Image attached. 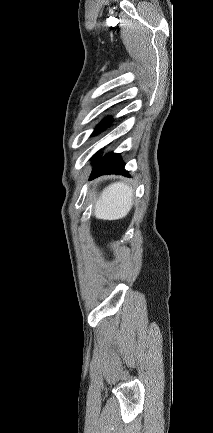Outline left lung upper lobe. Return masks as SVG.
<instances>
[{
    "label": "left lung upper lobe",
    "instance_id": "5c2ea615",
    "mask_svg": "<svg viewBox=\"0 0 213 433\" xmlns=\"http://www.w3.org/2000/svg\"><path fill=\"white\" fill-rule=\"evenodd\" d=\"M108 122H109L108 119L103 120L102 123L98 125V127L95 129L93 135L99 133L108 124Z\"/></svg>",
    "mask_w": 213,
    "mask_h": 433
}]
</instances>
